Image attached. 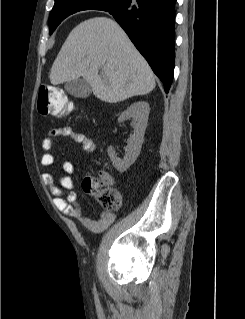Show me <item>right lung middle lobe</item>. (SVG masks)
<instances>
[{
	"label": "right lung middle lobe",
	"mask_w": 245,
	"mask_h": 319,
	"mask_svg": "<svg viewBox=\"0 0 245 319\" xmlns=\"http://www.w3.org/2000/svg\"><path fill=\"white\" fill-rule=\"evenodd\" d=\"M123 0H55L49 17L50 34L67 16L86 9L106 10L118 6Z\"/></svg>",
	"instance_id": "dd1d6c3e"
}]
</instances>
